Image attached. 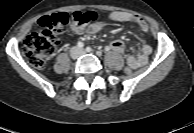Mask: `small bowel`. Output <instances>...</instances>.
I'll use <instances>...</instances> for the list:
<instances>
[{"instance_id":"1","label":"small bowel","mask_w":194,"mask_h":133,"mask_svg":"<svg viewBox=\"0 0 194 133\" xmlns=\"http://www.w3.org/2000/svg\"><path fill=\"white\" fill-rule=\"evenodd\" d=\"M109 19L114 22H129L135 24L139 31L142 34H146L149 32L148 24L138 15L122 12V11H114L109 14ZM102 29V24L95 23L91 25L88 29L89 33L95 34ZM108 49L113 50L117 53H122L125 49L124 43L121 40H114L108 46ZM152 52V47L148 42H144L141 46V52L138 56L128 55L127 56V64L133 69H137L147 64L149 56Z\"/></svg>"}]
</instances>
